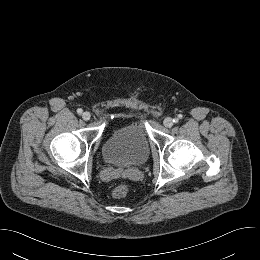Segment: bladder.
<instances>
[{
	"label": "bladder",
	"mask_w": 260,
	"mask_h": 260,
	"mask_svg": "<svg viewBox=\"0 0 260 260\" xmlns=\"http://www.w3.org/2000/svg\"><path fill=\"white\" fill-rule=\"evenodd\" d=\"M150 141L144 124L133 121L110 133L102 146V158L117 167L137 166L146 161Z\"/></svg>",
	"instance_id": "obj_1"
}]
</instances>
